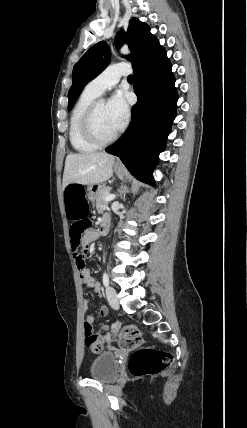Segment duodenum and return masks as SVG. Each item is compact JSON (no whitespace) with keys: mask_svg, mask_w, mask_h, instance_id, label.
<instances>
[{"mask_svg":"<svg viewBox=\"0 0 247 428\" xmlns=\"http://www.w3.org/2000/svg\"><path fill=\"white\" fill-rule=\"evenodd\" d=\"M109 224H110L109 218L105 217L103 219V221H102L101 228H100L101 234H106L107 233L108 228H109Z\"/></svg>","mask_w":247,"mask_h":428,"instance_id":"duodenum-1","label":"duodenum"}]
</instances>
